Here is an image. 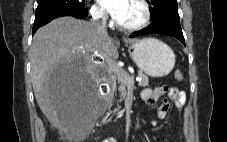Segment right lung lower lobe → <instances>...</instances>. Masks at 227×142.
I'll return each mask as SVG.
<instances>
[{"instance_id": "98d812e1", "label": "right lung lower lobe", "mask_w": 227, "mask_h": 142, "mask_svg": "<svg viewBox=\"0 0 227 142\" xmlns=\"http://www.w3.org/2000/svg\"><path fill=\"white\" fill-rule=\"evenodd\" d=\"M88 11L84 8L82 9H61V10H54L46 13H42L35 16V21L33 24V31L32 35L36 32V30L45 25L46 23L50 22L51 20L63 17V16H73L79 19L84 18L87 16Z\"/></svg>"}]
</instances>
